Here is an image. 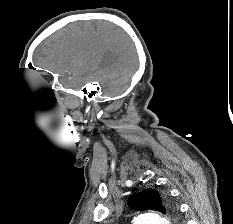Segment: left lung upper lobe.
Returning <instances> with one entry per match:
<instances>
[{
	"mask_svg": "<svg viewBox=\"0 0 233 224\" xmlns=\"http://www.w3.org/2000/svg\"><path fill=\"white\" fill-rule=\"evenodd\" d=\"M129 206L137 210H154L163 214H169L172 218L177 217V207L171 199L155 189H145L140 193L133 194L128 199Z\"/></svg>",
	"mask_w": 233,
	"mask_h": 224,
	"instance_id": "1",
	"label": "left lung upper lobe"
}]
</instances>
